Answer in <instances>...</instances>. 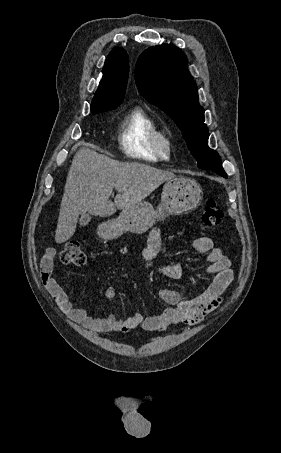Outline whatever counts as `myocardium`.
Segmentation results:
<instances>
[{"label":"myocardium","mask_w":281,"mask_h":453,"mask_svg":"<svg viewBox=\"0 0 281 453\" xmlns=\"http://www.w3.org/2000/svg\"><path fill=\"white\" fill-rule=\"evenodd\" d=\"M155 146L161 159L167 160L172 156L173 143L166 133L160 132L156 135Z\"/></svg>","instance_id":"1"}]
</instances>
